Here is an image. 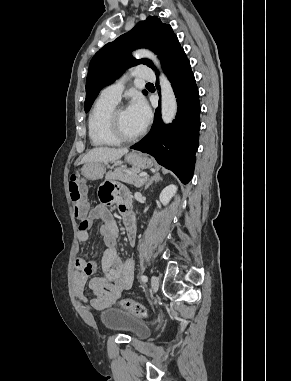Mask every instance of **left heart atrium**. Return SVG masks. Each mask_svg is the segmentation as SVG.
<instances>
[{"instance_id":"1","label":"left heart atrium","mask_w":291,"mask_h":381,"mask_svg":"<svg viewBox=\"0 0 291 381\" xmlns=\"http://www.w3.org/2000/svg\"><path fill=\"white\" fill-rule=\"evenodd\" d=\"M129 112L136 119L139 126L144 129L150 120V109L146 101L139 95L133 97L129 107Z\"/></svg>"}]
</instances>
